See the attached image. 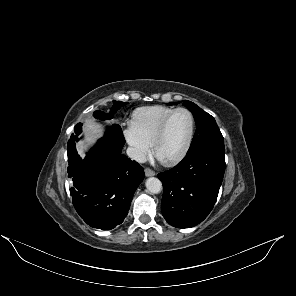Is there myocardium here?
<instances>
[{
  "label": "myocardium",
  "mask_w": 296,
  "mask_h": 296,
  "mask_svg": "<svg viewBox=\"0 0 296 296\" xmlns=\"http://www.w3.org/2000/svg\"><path fill=\"white\" fill-rule=\"evenodd\" d=\"M178 112H186L189 115L190 120H191L190 133H189V137H188V140H187L184 148L181 150V152L179 154H177L176 156L172 157L171 159H169L167 161L160 160L165 165H173V164L180 162L189 152L192 142H193V139H194V134H195V129H196V120H195L193 113L189 109L184 108V107L176 108L169 115H167L165 117V119L162 121V123L160 124V126L156 132V135L152 141V144H151L153 154L156 156L157 147L166 132L167 126H168L169 122L171 121V119L173 118V116Z\"/></svg>",
  "instance_id": "obj_1"
}]
</instances>
